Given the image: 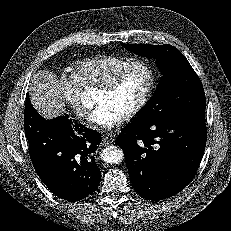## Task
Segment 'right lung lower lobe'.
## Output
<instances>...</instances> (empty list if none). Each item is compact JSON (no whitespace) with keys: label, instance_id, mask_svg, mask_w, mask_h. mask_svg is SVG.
<instances>
[{"label":"right lung lower lobe","instance_id":"1","mask_svg":"<svg viewBox=\"0 0 231 231\" xmlns=\"http://www.w3.org/2000/svg\"><path fill=\"white\" fill-rule=\"evenodd\" d=\"M25 136L35 171L56 196L74 202L92 194L101 180L94 153L101 136L69 115L45 120L28 95L24 110Z\"/></svg>","mask_w":231,"mask_h":231}]
</instances>
